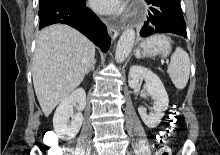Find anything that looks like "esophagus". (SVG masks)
Returning a JSON list of instances; mask_svg holds the SVG:
<instances>
[{
	"instance_id": "1",
	"label": "esophagus",
	"mask_w": 220,
	"mask_h": 155,
	"mask_svg": "<svg viewBox=\"0 0 220 155\" xmlns=\"http://www.w3.org/2000/svg\"><path fill=\"white\" fill-rule=\"evenodd\" d=\"M120 29L121 27L110 24L108 31L112 40H115L118 37Z\"/></svg>"
}]
</instances>
